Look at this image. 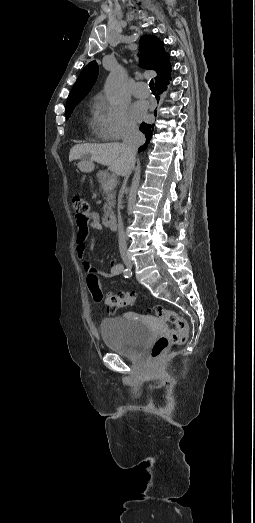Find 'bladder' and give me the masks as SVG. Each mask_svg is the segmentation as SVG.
<instances>
[{
  "label": "bladder",
  "instance_id": "bladder-1",
  "mask_svg": "<svg viewBox=\"0 0 255 523\" xmlns=\"http://www.w3.org/2000/svg\"><path fill=\"white\" fill-rule=\"evenodd\" d=\"M127 327L123 320L103 319L101 321V334L105 345L113 351L134 356L150 340L152 329L140 320Z\"/></svg>",
  "mask_w": 255,
  "mask_h": 523
}]
</instances>
